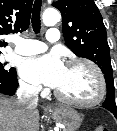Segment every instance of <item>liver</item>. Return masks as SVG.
I'll return each mask as SVG.
<instances>
[{"instance_id": "obj_1", "label": "liver", "mask_w": 117, "mask_h": 131, "mask_svg": "<svg viewBox=\"0 0 117 131\" xmlns=\"http://www.w3.org/2000/svg\"><path fill=\"white\" fill-rule=\"evenodd\" d=\"M39 113L36 107H27L18 99L0 95V131H37Z\"/></svg>"}]
</instances>
